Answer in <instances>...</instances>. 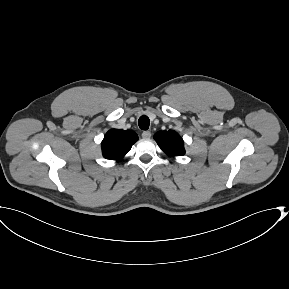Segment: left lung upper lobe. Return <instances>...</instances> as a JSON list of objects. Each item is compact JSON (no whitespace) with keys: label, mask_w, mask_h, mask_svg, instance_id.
Segmentation results:
<instances>
[{"label":"left lung upper lobe","mask_w":289,"mask_h":289,"mask_svg":"<svg viewBox=\"0 0 289 289\" xmlns=\"http://www.w3.org/2000/svg\"><path fill=\"white\" fill-rule=\"evenodd\" d=\"M159 147L170 156H182L185 154L184 141L175 131H160L154 135Z\"/></svg>","instance_id":"left-lung-upper-lobe-1"}]
</instances>
